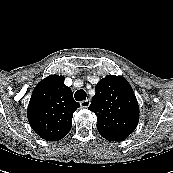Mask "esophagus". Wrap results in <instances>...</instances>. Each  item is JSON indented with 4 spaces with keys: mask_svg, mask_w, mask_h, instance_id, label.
Listing matches in <instances>:
<instances>
[{
    "mask_svg": "<svg viewBox=\"0 0 173 173\" xmlns=\"http://www.w3.org/2000/svg\"><path fill=\"white\" fill-rule=\"evenodd\" d=\"M90 103H91L90 99H86V100L82 101L80 103V105L82 108H88L90 106Z\"/></svg>",
    "mask_w": 173,
    "mask_h": 173,
    "instance_id": "1",
    "label": "esophagus"
}]
</instances>
